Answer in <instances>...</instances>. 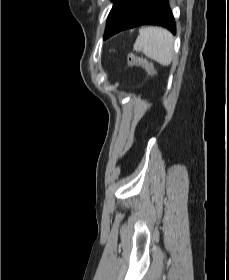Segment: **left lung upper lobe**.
I'll list each match as a JSON object with an SVG mask.
<instances>
[{"instance_id": "1", "label": "left lung upper lobe", "mask_w": 229, "mask_h": 280, "mask_svg": "<svg viewBox=\"0 0 229 280\" xmlns=\"http://www.w3.org/2000/svg\"><path fill=\"white\" fill-rule=\"evenodd\" d=\"M114 2L113 7L109 13L106 30H108L114 22L118 19L123 9L125 8L129 0H112Z\"/></svg>"}]
</instances>
